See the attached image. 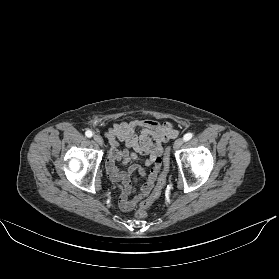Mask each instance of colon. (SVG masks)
Masks as SVG:
<instances>
[{
  "label": "colon",
  "mask_w": 279,
  "mask_h": 279,
  "mask_svg": "<svg viewBox=\"0 0 279 279\" xmlns=\"http://www.w3.org/2000/svg\"><path fill=\"white\" fill-rule=\"evenodd\" d=\"M170 153L169 150L165 151L163 157V170L158 178V181L152 191L151 195L141 203L138 210L135 212L136 217L145 218L147 217V209L154 203V201L160 196L162 189L166 182V176L169 168Z\"/></svg>",
  "instance_id": "obj_1"
}]
</instances>
